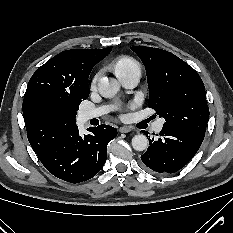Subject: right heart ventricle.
I'll return each mask as SVG.
<instances>
[{
  "label": "right heart ventricle",
  "instance_id": "e07e8e85",
  "mask_svg": "<svg viewBox=\"0 0 233 233\" xmlns=\"http://www.w3.org/2000/svg\"><path fill=\"white\" fill-rule=\"evenodd\" d=\"M110 68L114 71L116 76L129 71L133 68H139L138 63L131 57L120 56L113 60L110 64Z\"/></svg>",
  "mask_w": 233,
  "mask_h": 233
}]
</instances>
